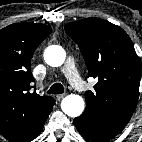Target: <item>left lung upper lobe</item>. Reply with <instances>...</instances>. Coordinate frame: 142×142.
I'll return each instance as SVG.
<instances>
[{
  "mask_svg": "<svg viewBox=\"0 0 142 142\" xmlns=\"http://www.w3.org/2000/svg\"><path fill=\"white\" fill-rule=\"evenodd\" d=\"M79 45L89 71L97 78L94 91L85 94V113L106 129L121 132L129 122L139 97L141 67L133 43L119 26L99 18L65 25Z\"/></svg>",
  "mask_w": 142,
  "mask_h": 142,
  "instance_id": "obj_1",
  "label": "left lung upper lobe"
}]
</instances>
